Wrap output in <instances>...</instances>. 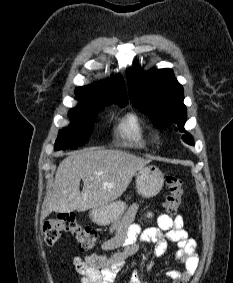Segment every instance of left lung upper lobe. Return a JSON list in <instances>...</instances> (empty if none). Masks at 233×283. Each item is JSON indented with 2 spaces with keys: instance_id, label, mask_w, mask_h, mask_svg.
<instances>
[{
  "instance_id": "obj_1",
  "label": "left lung upper lobe",
  "mask_w": 233,
  "mask_h": 283,
  "mask_svg": "<svg viewBox=\"0 0 233 283\" xmlns=\"http://www.w3.org/2000/svg\"><path fill=\"white\" fill-rule=\"evenodd\" d=\"M127 79L132 103L146 114L155 126L164 128L177 124L180 131L185 132L183 126L187 112L183 104V87L174 77L172 70L151 69L144 73L142 69H128ZM182 139L185 143L193 145L190 134L183 135Z\"/></svg>"
}]
</instances>
